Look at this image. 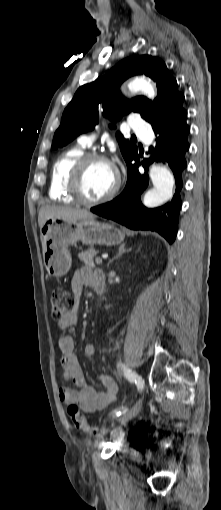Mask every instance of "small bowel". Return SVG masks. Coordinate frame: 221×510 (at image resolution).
<instances>
[{
    "mask_svg": "<svg viewBox=\"0 0 221 510\" xmlns=\"http://www.w3.org/2000/svg\"><path fill=\"white\" fill-rule=\"evenodd\" d=\"M96 270L90 267H82L75 272L71 288L76 299L74 308L58 320L60 329H69L77 323L78 300L84 287L94 286V275ZM61 353L60 364L63 376L67 381L72 382L74 387L62 386L58 390V397L65 404H76L86 414H92L109 406L116 398L117 385L113 378L107 374L99 375L101 390L97 391L86 383L79 359L75 353V343L71 336H62L59 339ZM95 353V346L88 343L84 347V355L92 357Z\"/></svg>",
    "mask_w": 221,
    "mask_h": 510,
    "instance_id": "obj_1",
    "label": "small bowel"
}]
</instances>
